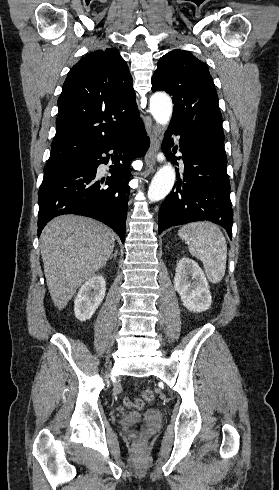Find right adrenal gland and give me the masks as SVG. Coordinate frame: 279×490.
<instances>
[{
    "instance_id": "2a0ac1e0",
    "label": "right adrenal gland",
    "mask_w": 279,
    "mask_h": 490,
    "mask_svg": "<svg viewBox=\"0 0 279 490\" xmlns=\"http://www.w3.org/2000/svg\"><path fill=\"white\" fill-rule=\"evenodd\" d=\"M117 254H118V250H114V254H111L109 260H112V258H114V260H117Z\"/></svg>"
}]
</instances>
